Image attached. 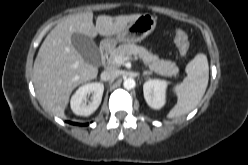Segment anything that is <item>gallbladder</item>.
I'll list each match as a JSON object with an SVG mask.
<instances>
[{
	"mask_svg": "<svg viewBox=\"0 0 248 165\" xmlns=\"http://www.w3.org/2000/svg\"><path fill=\"white\" fill-rule=\"evenodd\" d=\"M72 45L81 54L86 63L99 66L101 62L98 46L91 37L74 33L71 38Z\"/></svg>",
	"mask_w": 248,
	"mask_h": 165,
	"instance_id": "bac80fb5",
	"label": "gallbladder"
}]
</instances>
